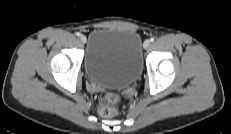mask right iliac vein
Returning <instances> with one entry per match:
<instances>
[{"label":"right iliac vein","instance_id":"1","mask_svg":"<svg viewBox=\"0 0 231 134\" xmlns=\"http://www.w3.org/2000/svg\"><path fill=\"white\" fill-rule=\"evenodd\" d=\"M80 40H81L82 43H86L87 38H86V36L81 35V36H80Z\"/></svg>","mask_w":231,"mask_h":134}]
</instances>
